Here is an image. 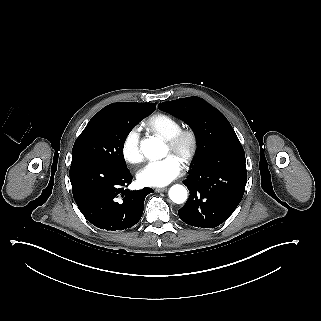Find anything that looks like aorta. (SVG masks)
<instances>
[{
  "label": "aorta",
  "instance_id": "762f6f07",
  "mask_svg": "<svg viewBox=\"0 0 321 321\" xmlns=\"http://www.w3.org/2000/svg\"><path fill=\"white\" fill-rule=\"evenodd\" d=\"M141 150L145 157L157 159L165 153L163 141L158 138L150 137L144 139L141 143ZM169 198L177 204H182L187 199V190L183 185H173L169 190Z\"/></svg>",
  "mask_w": 321,
  "mask_h": 321
}]
</instances>
